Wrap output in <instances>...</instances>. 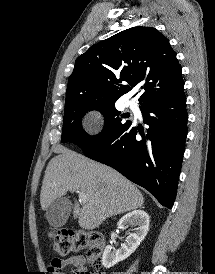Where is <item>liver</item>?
Returning a JSON list of instances; mask_svg holds the SVG:
<instances>
[{"mask_svg":"<svg viewBox=\"0 0 215 274\" xmlns=\"http://www.w3.org/2000/svg\"><path fill=\"white\" fill-rule=\"evenodd\" d=\"M48 163L43 178L40 204L43 210L68 191L87 196L80 208L75 201L74 219L81 228L92 230L111 216L140 208L142 193L114 169L61 148Z\"/></svg>","mask_w":215,"mask_h":274,"instance_id":"1","label":"liver"}]
</instances>
